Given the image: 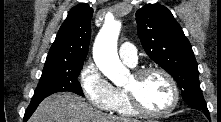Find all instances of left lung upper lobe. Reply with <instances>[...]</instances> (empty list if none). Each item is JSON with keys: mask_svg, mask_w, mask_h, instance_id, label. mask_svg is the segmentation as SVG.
<instances>
[{"mask_svg": "<svg viewBox=\"0 0 221 122\" xmlns=\"http://www.w3.org/2000/svg\"><path fill=\"white\" fill-rule=\"evenodd\" d=\"M136 20L144 50L175 79L183 100L190 106L205 105L192 47L170 10L147 4L136 12Z\"/></svg>", "mask_w": 221, "mask_h": 122, "instance_id": "5c2ea615", "label": "left lung upper lobe"}]
</instances>
